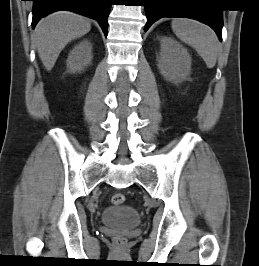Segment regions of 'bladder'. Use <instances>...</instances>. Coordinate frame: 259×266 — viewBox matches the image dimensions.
I'll return each mask as SVG.
<instances>
[{"mask_svg":"<svg viewBox=\"0 0 259 266\" xmlns=\"http://www.w3.org/2000/svg\"><path fill=\"white\" fill-rule=\"evenodd\" d=\"M101 219L103 224L118 228H132L140 223L137 210L126 205L106 208Z\"/></svg>","mask_w":259,"mask_h":266,"instance_id":"31cf9c89","label":"bladder"}]
</instances>
